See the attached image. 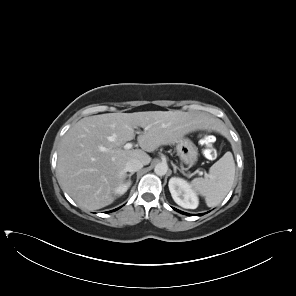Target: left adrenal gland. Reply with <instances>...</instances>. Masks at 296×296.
<instances>
[{
	"label": "left adrenal gland",
	"mask_w": 296,
	"mask_h": 296,
	"mask_svg": "<svg viewBox=\"0 0 296 296\" xmlns=\"http://www.w3.org/2000/svg\"><path fill=\"white\" fill-rule=\"evenodd\" d=\"M172 166H173L174 173H176L177 170L183 173V171L179 167H177L174 163H172Z\"/></svg>",
	"instance_id": "left-adrenal-gland-1"
}]
</instances>
